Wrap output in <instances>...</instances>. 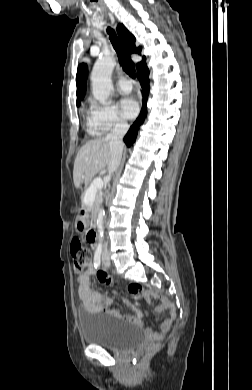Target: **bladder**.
Masks as SVG:
<instances>
[{
    "instance_id": "bladder-1",
    "label": "bladder",
    "mask_w": 252,
    "mask_h": 390,
    "mask_svg": "<svg viewBox=\"0 0 252 390\" xmlns=\"http://www.w3.org/2000/svg\"><path fill=\"white\" fill-rule=\"evenodd\" d=\"M78 320L82 338L89 344L112 350H128L137 346L144 337L143 328L134 323L110 320L79 311Z\"/></svg>"
}]
</instances>
